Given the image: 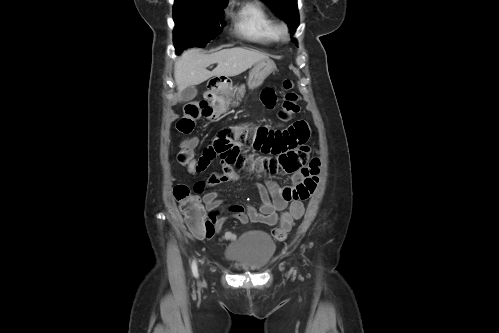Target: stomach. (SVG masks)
Instances as JSON below:
<instances>
[{
    "label": "stomach",
    "instance_id": "obj_1",
    "mask_svg": "<svg viewBox=\"0 0 499 333\" xmlns=\"http://www.w3.org/2000/svg\"><path fill=\"white\" fill-rule=\"evenodd\" d=\"M276 69L275 63L270 60H262L254 64L249 73L247 85L250 89H256L261 86L264 80ZM231 84L224 80L216 85L218 93L226 95L231 92Z\"/></svg>",
    "mask_w": 499,
    "mask_h": 333
}]
</instances>
